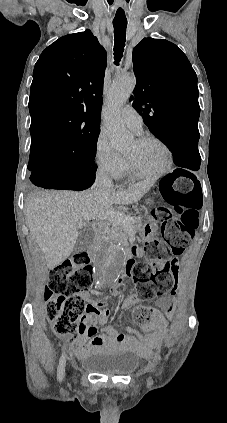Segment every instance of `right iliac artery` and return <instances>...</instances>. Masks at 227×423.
<instances>
[{
  "instance_id": "right-iliac-artery-1",
  "label": "right iliac artery",
  "mask_w": 227,
  "mask_h": 423,
  "mask_svg": "<svg viewBox=\"0 0 227 423\" xmlns=\"http://www.w3.org/2000/svg\"><path fill=\"white\" fill-rule=\"evenodd\" d=\"M65 354L63 353L62 356L60 357L59 360V365L57 368V379L58 381H62L63 376H64V372H65V363H66V358H65Z\"/></svg>"
}]
</instances>
